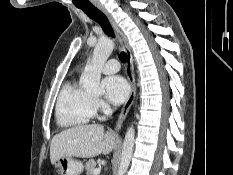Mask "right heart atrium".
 Instances as JSON below:
<instances>
[{
	"mask_svg": "<svg viewBox=\"0 0 233 175\" xmlns=\"http://www.w3.org/2000/svg\"><path fill=\"white\" fill-rule=\"evenodd\" d=\"M94 105L97 110L106 111L108 109V105L100 98L94 99Z\"/></svg>",
	"mask_w": 233,
	"mask_h": 175,
	"instance_id": "1",
	"label": "right heart atrium"
}]
</instances>
